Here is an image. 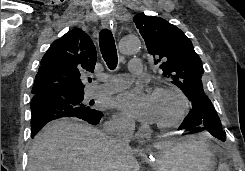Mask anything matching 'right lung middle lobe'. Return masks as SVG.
Masks as SVG:
<instances>
[{"mask_svg": "<svg viewBox=\"0 0 245 171\" xmlns=\"http://www.w3.org/2000/svg\"><path fill=\"white\" fill-rule=\"evenodd\" d=\"M72 100H73V103L76 105V106H83L85 107V110H90V109H93L92 107L82 103L83 101V94L81 95H75L74 97H72Z\"/></svg>", "mask_w": 245, "mask_h": 171, "instance_id": "obj_1", "label": "right lung middle lobe"}]
</instances>
